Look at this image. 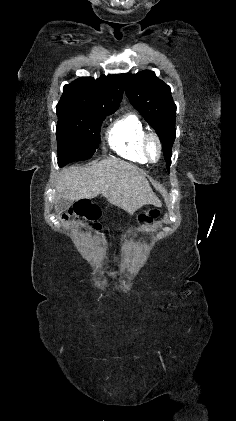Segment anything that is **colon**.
<instances>
[{"label":"colon","mask_w":236,"mask_h":421,"mask_svg":"<svg viewBox=\"0 0 236 421\" xmlns=\"http://www.w3.org/2000/svg\"><path fill=\"white\" fill-rule=\"evenodd\" d=\"M85 208L84 206H81L79 210ZM92 215L95 214L92 212ZM159 215V211L157 209L149 208L146 209L143 213H141L138 217L139 222L141 223H151L157 216ZM95 227L97 228L98 225L96 224Z\"/></svg>","instance_id":"1"}]
</instances>
